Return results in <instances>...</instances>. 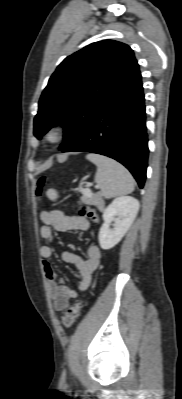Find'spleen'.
I'll return each mask as SVG.
<instances>
[{
	"label": "spleen",
	"mask_w": 182,
	"mask_h": 399,
	"mask_svg": "<svg viewBox=\"0 0 182 399\" xmlns=\"http://www.w3.org/2000/svg\"><path fill=\"white\" fill-rule=\"evenodd\" d=\"M86 159L97 166L95 182L100 187L105 198L125 195L134 190V179L132 175L117 161L93 153L88 154ZM47 195L52 200L58 197L55 190H49Z\"/></svg>",
	"instance_id": "3e777b00"
}]
</instances>
